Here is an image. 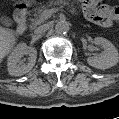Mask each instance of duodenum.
I'll return each mask as SVG.
<instances>
[{
  "label": "duodenum",
  "mask_w": 119,
  "mask_h": 119,
  "mask_svg": "<svg viewBox=\"0 0 119 119\" xmlns=\"http://www.w3.org/2000/svg\"><path fill=\"white\" fill-rule=\"evenodd\" d=\"M15 20L17 23L16 32L18 35H23L26 31V8L23 5H19L15 12Z\"/></svg>",
  "instance_id": "duodenum-1"
}]
</instances>
